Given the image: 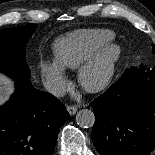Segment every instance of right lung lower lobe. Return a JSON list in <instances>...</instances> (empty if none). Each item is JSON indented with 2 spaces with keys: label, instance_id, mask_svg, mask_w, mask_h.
I'll return each instance as SVG.
<instances>
[{
  "label": "right lung lower lobe",
  "instance_id": "right-lung-lower-lobe-1",
  "mask_svg": "<svg viewBox=\"0 0 155 155\" xmlns=\"http://www.w3.org/2000/svg\"><path fill=\"white\" fill-rule=\"evenodd\" d=\"M16 90L0 107V155H52L70 115L60 101L32 87Z\"/></svg>",
  "mask_w": 155,
  "mask_h": 155
}]
</instances>
